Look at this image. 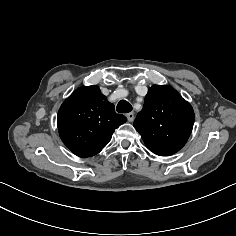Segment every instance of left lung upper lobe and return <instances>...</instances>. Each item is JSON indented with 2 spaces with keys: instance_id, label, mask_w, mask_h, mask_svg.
<instances>
[{
  "instance_id": "5c2ea615",
  "label": "left lung upper lobe",
  "mask_w": 236,
  "mask_h": 236,
  "mask_svg": "<svg viewBox=\"0 0 236 236\" xmlns=\"http://www.w3.org/2000/svg\"><path fill=\"white\" fill-rule=\"evenodd\" d=\"M194 124V111L173 88L153 85L133 126L148 149L160 156L179 151L187 142Z\"/></svg>"
}]
</instances>
